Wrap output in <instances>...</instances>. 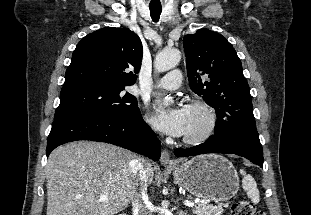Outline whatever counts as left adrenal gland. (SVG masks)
<instances>
[{
	"mask_svg": "<svg viewBox=\"0 0 311 215\" xmlns=\"http://www.w3.org/2000/svg\"><path fill=\"white\" fill-rule=\"evenodd\" d=\"M175 209L177 210L178 207L175 206ZM178 215H187V212L183 211V210H177Z\"/></svg>",
	"mask_w": 311,
	"mask_h": 215,
	"instance_id": "left-adrenal-gland-1",
	"label": "left adrenal gland"
}]
</instances>
